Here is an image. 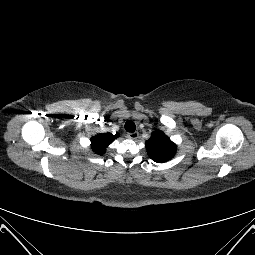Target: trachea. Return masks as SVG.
<instances>
[{"instance_id": "1", "label": "trachea", "mask_w": 255, "mask_h": 255, "mask_svg": "<svg viewBox=\"0 0 255 255\" xmlns=\"http://www.w3.org/2000/svg\"><path fill=\"white\" fill-rule=\"evenodd\" d=\"M124 127L125 130L130 133H133L136 129L135 123L133 121H127Z\"/></svg>"}]
</instances>
